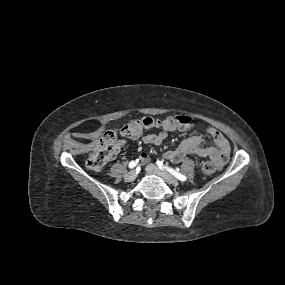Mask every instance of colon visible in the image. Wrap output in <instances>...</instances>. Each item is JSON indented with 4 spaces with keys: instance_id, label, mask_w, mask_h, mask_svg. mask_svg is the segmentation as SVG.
Returning <instances> with one entry per match:
<instances>
[{
    "instance_id": "5ec220e1",
    "label": "colon",
    "mask_w": 285,
    "mask_h": 285,
    "mask_svg": "<svg viewBox=\"0 0 285 285\" xmlns=\"http://www.w3.org/2000/svg\"><path fill=\"white\" fill-rule=\"evenodd\" d=\"M158 124L173 127L176 130L181 131H190L193 128L192 118L185 114L169 116L164 119L143 117L130 120L120 129V135L121 137L128 139H137L144 129L152 128ZM118 148L117 131L112 130L104 133L102 137L94 144L88 155V167L94 171L102 170L114 159ZM201 168L204 175L210 176L216 170V163L214 161L207 160L202 163Z\"/></svg>"
}]
</instances>
